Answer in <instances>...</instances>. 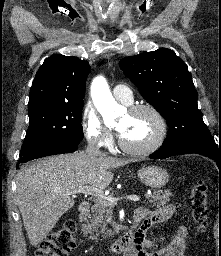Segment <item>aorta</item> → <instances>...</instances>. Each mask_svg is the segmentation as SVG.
Wrapping results in <instances>:
<instances>
[{"instance_id":"1","label":"aorta","mask_w":221,"mask_h":256,"mask_svg":"<svg viewBox=\"0 0 221 256\" xmlns=\"http://www.w3.org/2000/svg\"><path fill=\"white\" fill-rule=\"evenodd\" d=\"M91 96L94 105L103 116L104 121L116 118L121 111V106L113 98L107 81L104 77H96L91 85Z\"/></svg>"}]
</instances>
